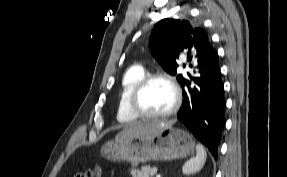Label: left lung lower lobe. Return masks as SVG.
<instances>
[{
    "instance_id": "0a47b994",
    "label": "left lung lower lobe",
    "mask_w": 287,
    "mask_h": 177,
    "mask_svg": "<svg viewBox=\"0 0 287 177\" xmlns=\"http://www.w3.org/2000/svg\"><path fill=\"white\" fill-rule=\"evenodd\" d=\"M197 77H191L182 85L183 103L178 119L218 159V147L225 124V99L220 76L218 54L210 49L206 60L195 70Z\"/></svg>"
}]
</instances>
